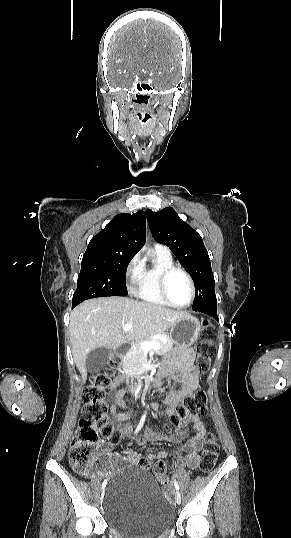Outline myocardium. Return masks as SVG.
Wrapping results in <instances>:
<instances>
[{
    "mask_svg": "<svg viewBox=\"0 0 291 538\" xmlns=\"http://www.w3.org/2000/svg\"><path fill=\"white\" fill-rule=\"evenodd\" d=\"M175 272L182 273L186 277V279H187V281L189 283L190 298H189L188 302L185 303V304H177V303H175L174 301H172V299L170 298L169 293H168V288H167L168 279ZM159 290H160V293H161L163 299L169 305H171L173 307H176V308H187V307H189L193 303L194 298H195V285H194V282H193V279H192L191 275L185 269H183L181 267H178V266L168 267V268L164 269L161 272V274L159 276Z\"/></svg>",
    "mask_w": 291,
    "mask_h": 538,
    "instance_id": "obj_1",
    "label": "myocardium"
}]
</instances>
